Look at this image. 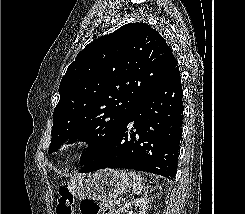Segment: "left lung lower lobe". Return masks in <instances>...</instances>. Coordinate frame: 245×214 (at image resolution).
I'll use <instances>...</instances> for the list:
<instances>
[{
  "label": "left lung lower lobe",
  "mask_w": 245,
  "mask_h": 214,
  "mask_svg": "<svg viewBox=\"0 0 245 214\" xmlns=\"http://www.w3.org/2000/svg\"><path fill=\"white\" fill-rule=\"evenodd\" d=\"M182 97L177 66L142 100L113 139L93 154L79 172L128 168L173 179L182 135ZM130 122L134 124L128 130Z\"/></svg>",
  "instance_id": "1"
}]
</instances>
